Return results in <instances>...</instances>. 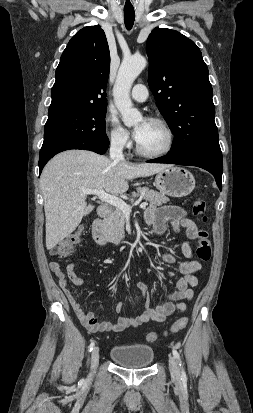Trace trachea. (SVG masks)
I'll list each match as a JSON object with an SVG mask.
<instances>
[{"instance_id": "1", "label": "trachea", "mask_w": 253, "mask_h": 413, "mask_svg": "<svg viewBox=\"0 0 253 413\" xmlns=\"http://www.w3.org/2000/svg\"><path fill=\"white\" fill-rule=\"evenodd\" d=\"M135 20L134 10H124V22L127 30H131Z\"/></svg>"}]
</instances>
